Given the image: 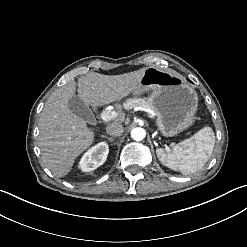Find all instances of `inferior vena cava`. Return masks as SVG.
<instances>
[{"mask_svg": "<svg viewBox=\"0 0 247 247\" xmlns=\"http://www.w3.org/2000/svg\"><path fill=\"white\" fill-rule=\"evenodd\" d=\"M106 132L110 136H120L124 132V127L119 122H113L107 125Z\"/></svg>", "mask_w": 247, "mask_h": 247, "instance_id": "inferior-vena-cava-1", "label": "inferior vena cava"}]
</instances>
